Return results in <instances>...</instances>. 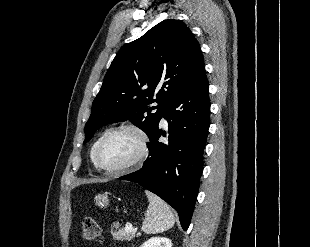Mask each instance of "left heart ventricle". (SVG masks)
Segmentation results:
<instances>
[{"mask_svg": "<svg viewBox=\"0 0 310 247\" xmlns=\"http://www.w3.org/2000/svg\"><path fill=\"white\" fill-rule=\"evenodd\" d=\"M139 149L137 136L130 131H120L111 136L102 146L100 162L108 168H116L131 161Z\"/></svg>", "mask_w": 310, "mask_h": 247, "instance_id": "b2bd125f", "label": "left heart ventricle"}]
</instances>
